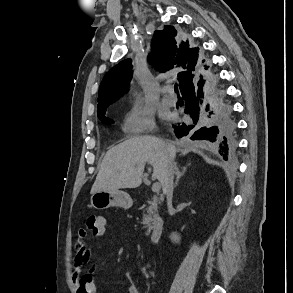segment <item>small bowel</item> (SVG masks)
Segmentation results:
<instances>
[{
    "instance_id": "1",
    "label": "small bowel",
    "mask_w": 293,
    "mask_h": 293,
    "mask_svg": "<svg viewBox=\"0 0 293 293\" xmlns=\"http://www.w3.org/2000/svg\"><path fill=\"white\" fill-rule=\"evenodd\" d=\"M106 234V229H104L100 234L95 235L97 237H102ZM89 238V234L85 229H80L77 233V252L74 261V271H73V282L77 288V293H98L97 286L91 275H82L83 269L88 265L92 251L86 245V240ZM127 281L132 279L131 272L127 271L124 275ZM128 293H140L139 289L133 285L129 284Z\"/></svg>"
}]
</instances>
